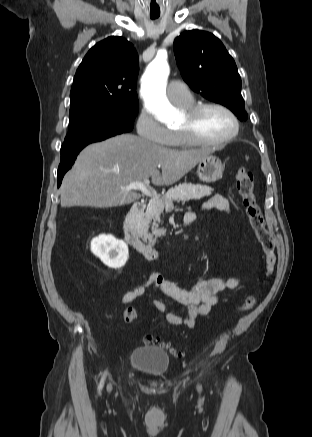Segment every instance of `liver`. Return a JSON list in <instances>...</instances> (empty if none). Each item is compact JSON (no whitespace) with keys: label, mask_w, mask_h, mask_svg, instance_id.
<instances>
[{"label":"liver","mask_w":312,"mask_h":437,"mask_svg":"<svg viewBox=\"0 0 312 437\" xmlns=\"http://www.w3.org/2000/svg\"><path fill=\"white\" fill-rule=\"evenodd\" d=\"M213 152L171 149L132 134L90 144L64 176L61 206L110 208L130 204L140 194L123 187L149 177L156 186L172 185Z\"/></svg>","instance_id":"liver-1"}]
</instances>
